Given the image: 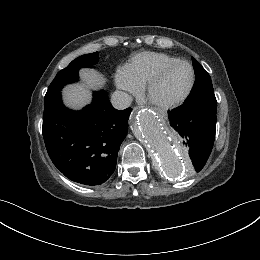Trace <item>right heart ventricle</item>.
I'll return each mask as SVG.
<instances>
[{
	"label": "right heart ventricle",
	"mask_w": 260,
	"mask_h": 260,
	"mask_svg": "<svg viewBox=\"0 0 260 260\" xmlns=\"http://www.w3.org/2000/svg\"><path fill=\"white\" fill-rule=\"evenodd\" d=\"M178 60V57L166 53L143 52L129 60L124 72L135 83L144 85L159 69Z\"/></svg>",
	"instance_id": "right-heart-ventricle-1"
}]
</instances>
